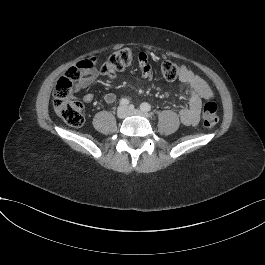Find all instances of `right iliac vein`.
<instances>
[{
	"mask_svg": "<svg viewBox=\"0 0 265 265\" xmlns=\"http://www.w3.org/2000/svg\"><path fill=\"white\" fill-rule=\"evenodd\" d=\"M127 115H128V111H127V109L125 107H123V106L118 107V109H117V117L119 119H124Z\"/></svg>",
	"mask_w": 265,
	"mask_h": 265,
	"instance_id": "1",
	"label": "right iliac vein"
}]
</instances>
